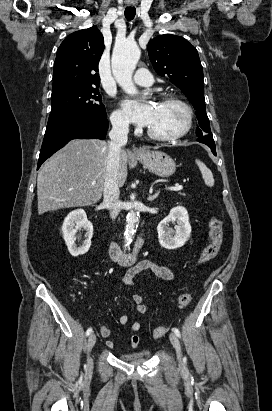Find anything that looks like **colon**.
<instances>
[{"mask_svg": "<svg viewBox=\"0 0 272 411\" xmlns=\"http://www.w3.org/2000/svg\"><path fill=\"white\" fill-rule=\"evenodd\" d=\"M209 237L210 243L202 251L198 258V263H205L213 260L219 254L221 246L223 243V228L222 222L218 218H211L209 221ZM191 301V294L189 292H183L178 297V306L180 308H185L189 305ZM168 332L167 327H155L153 329L152 335L154 338H161Z\"/></svg>", "mask_w": 272, "mask_h": 411, "instance_id": "obj_1", "label": "colon"}]
</instances>
